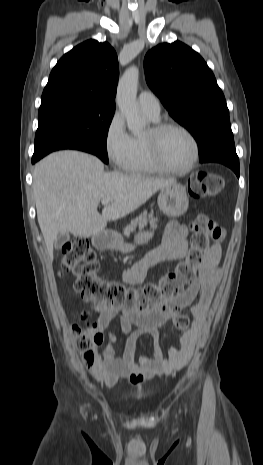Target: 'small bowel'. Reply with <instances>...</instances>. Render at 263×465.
Listing matches in <instances>:
<instances>
[{"instance_id":"1","label":"small bowel","mask_w":263,"mask_h":465,"mask_svg":"<svg viewBox=\"0 0 263 465\" xmlns=\"http://www.w3.org/2000/svg\"><path fill=\"white\" fill-rule=\"evenodd\" d=\"M196 230L195 225L178 222L168 224L161 243L145 257L123 273V280L130 285L143 282L147 270L163 261L178 260L188 252V236ZM214 244L205 255L195 282L183 293L168 299L146 311L124 307H112L90 300L99 312L95 327L105 331L112 320L120 314L116 330L108 332L107 343L97 363L91 369L93 376L108 387L116 386L122 380L128 385L141 386L161 374H170L184 368L190 360L198 332L204 324L219 278L218 262L221 255V229L216 228L212 236ZM198 297L197 301L195 299ZM193 317V327L182 333L179 348L171 347L165 355L162 349L159 327L174 320L184 309ZM134 328V329H133ZM150 335L154 340L152 357L135 354L138 338ZM127 336L123 353L115 355L113 344Z\"/></svg>"}]
</instances>
